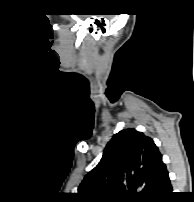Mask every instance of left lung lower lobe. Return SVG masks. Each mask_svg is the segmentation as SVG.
Listing matches in <instances>:
<instances>
[{"label":"left lung lower lobe","instance_id":"left-lung-lower-lobe-1","mask_svg":"<svg viewBox=\"0 0 194 202\" xmlns=\"http://www.w3.org/2000/svg\"><path fill=\"white\" fill-rule=\"evenodd\" d=\"M172 196V186L165 167L152 201L168 202Z\"/></svg>","mask_w":194,"mask_h":202}]
</instances>
